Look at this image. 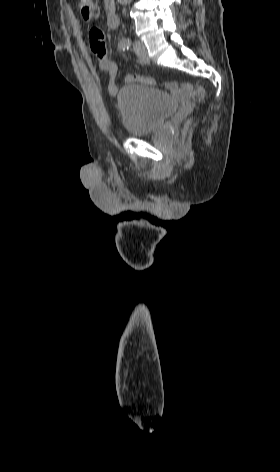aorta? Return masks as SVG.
<instances>
[{
	"label": "aorta",
	"instance_id": "1",
	"mask_svg": "<svg viewBox=\"0 0 280 472\" xmlns=\"http://www.w3.org/2000/svg\"><path fill=\"white\" fill-rule=\"evenodd\" d=\"M120 3H127L130 2L131 0H118Z\"/></svg>",
	"mask_w": 280,
	"mask_h": 472
}]
</instances>
